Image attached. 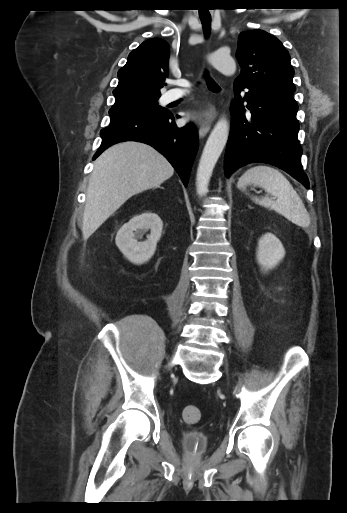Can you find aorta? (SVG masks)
Masks as SVG:
<instances>
[{
	"mask_svg": "<svg viewBox=\"0 0 347 513\" xmlns=\"http://www.w3.org/2000/svg\"><path fill=\"white\" fill-rule=\"evenodd\" d=\"M213 67L226 76L236 71V62L228 53L215 51L209 56ZM229 122L221 118L211 131L203 149L196 174V188L199 196H205L213 169L227 143L229 136Z\"/></svg>",
	"mask_w": 347,
	"mask_h": 513,
	"instance_id": "obj_1",
	"label": "aorta"
}]
</instances>
